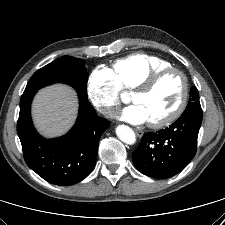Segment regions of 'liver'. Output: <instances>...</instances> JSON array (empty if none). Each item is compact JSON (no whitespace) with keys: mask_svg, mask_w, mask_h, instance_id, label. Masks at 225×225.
<instances>
[{"mask_svg":"<svg viewBox=\"0 0 225 225\" xmlns=\"http://www.w3.org/2000/svg\"><path fill=\"white\" fill-rule=\"evenodd\" d=\"M78 110L76 92L64 84L41 89L32 104L33 121L46 137L64 134L73 125Z\"/></svg>","mask_w":225,"mask_h":225,"instance_id":"obj_1","label":"liver"}]
</instances>
